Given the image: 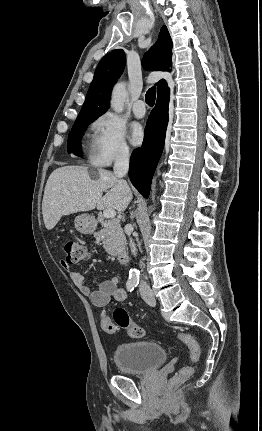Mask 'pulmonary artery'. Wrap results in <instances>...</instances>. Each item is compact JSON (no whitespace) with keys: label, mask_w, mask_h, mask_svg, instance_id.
Listing matches in <instances>:
<instances>
[{"label":"pulmonary artery","mask_w":262,"mask_h":431,"mask_svg":"<svg viewBox=\"0 0 262 431\" xmlns=\"http://www.w3.org/2000/svg\"><path fill=\"white\" fill-rule=\"evenodd\" d=\"M132 111H133V114L136 117H138V118L143 117L145 115V113H146V109H145V106H144V101L140 100V99L136 100L134 102V104H133Z\"/></svg>","instance_id":"e3ab8cb5"}]
</instances>
